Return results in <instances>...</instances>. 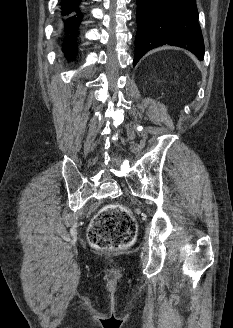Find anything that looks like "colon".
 <instances>
[{"instance_id": "5ec220e1", "label": "colon", "mask_w": 233, "mask_h": 328, "mask_svg": "<svg viewBox=\"0 0 233 328\" xmlns=\"http://www.w3.org/2000/svg\"><path fill=\"white\" fill-rule=\"evenodd\" d=\"M136 232L137 224L131 212L120 204H109L94 217L88 240L97 249L111 250L130 245Z\"/></svg>"}]
</instances>
